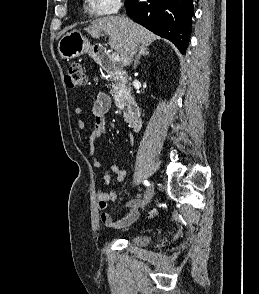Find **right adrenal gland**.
Masks as SVG:
<instances>
[{
    "mask_svg": "<svg viewBox=\"0 0 259 294\" xmlns=\"http://www.w3.org/2000/svg\"><path fill=\"white\" fill-rule=\"evenodd\" d=\"M148 47H149V45H140L138 47V54H137L135 62H134L135 69L137 68V66L139 64V60H140L141 56L149 55Z\"/></svg>",
    "mask_w": 259,
    "mask_h": 294,
    "instance_id": "2a0ac1e0",
    "label": "right adrenal gland"
}]
</instances>
